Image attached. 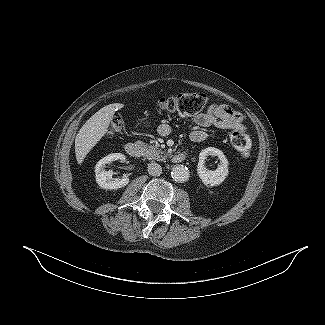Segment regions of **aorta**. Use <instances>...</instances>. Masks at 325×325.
Wrapping results in <instances>:
<instances>
[{
	"label": "aorta",
	"mask_w": 325,
	"mask_h": 325,
	"mask_svg": "<svg viewBox=\"0 0 325 325\" xmlns=\"http://www.w3.org/2000/svg\"><path fill=\"white\" fill-rule=\"evenodd\" d=\"M171 177L174 181L182 183L188 180L189 171L184 165H176L172 168Z\"/></svg>",
	"instance_id": "762f6f07"
}]
</instances>
